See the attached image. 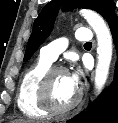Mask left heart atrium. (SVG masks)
Returning a JSON list of instances; mask_svg holds the SVG:
<instances>
[{
  "label": "left heart atrium",
  "instance_id": "obj_1",
  "mask_svg": "<svg viewBox=\"0 0 118 123\" xmlns=\"http://www.w3.org/2000/svg\"><path fill=\"white\" fill-rule=\"evenodd\" d=\"M68 76H69L70 82L74 86L78 87V84H79V81H80V73H79V70H77V69L73 70L72 72H70L68 74Z\"/></svg>",
  "mask_w": 118,
  "mask_h": 123
}]
</instances>
